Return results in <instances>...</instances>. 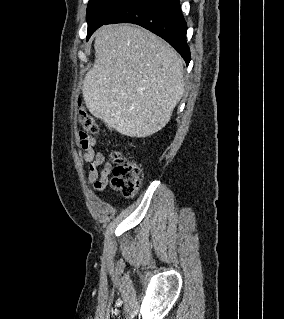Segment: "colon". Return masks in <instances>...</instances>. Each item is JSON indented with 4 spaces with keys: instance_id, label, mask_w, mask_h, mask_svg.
I'll use <instances>...</instances> for the list:
<instances>
[{
    "instance_id": "5ec220e1",
    "label": "colon",
    "mask_w": 284,
    "mask_h": 319,
    "mask_svg": "<svg viewBox=\"0 0 284 319\" xmlns=\"http://www.w3.org/2000/svg\"><path fill=\"white\" fill-rule=\"evenodd\" d=\"M78 119L80 125L86 132L91 134L100 133V127L97 122L85 111L79 112ZM110 156L114 164L112 170L113 177L111 180L113 189L120 192L126 198L134 197L141 185L139 166L133 162L128 155L122 152L113 151Z\"/></svg>"
}]
</instances>
